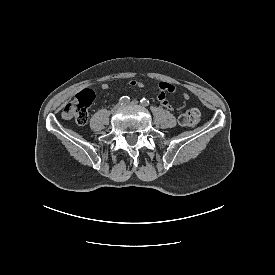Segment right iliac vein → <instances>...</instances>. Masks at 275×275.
Instances as JSON below:
<instances>
[{"instance_id": "63e3f726", "label": "right iliac vein", "mask_w": 275, "mask_h": 275, "mask_svg": "<svg viewBox=\"0 0 275 275\" xmlns=\"http://www.w3.org/2000/svg\"><path fill=\"white\" fill-rule=\"evenodd\" d=\"M120 105L119 104H116L113 108H112V112L115 113L117 112L119 109H120Z\"/></svg>"}]
</instances>
